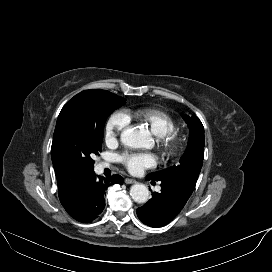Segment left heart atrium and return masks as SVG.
<instances>
[{
    "mask_svg": "<svg viewBox=\"0 0 272 272\" xmlns=\"http://www.w3.org/2000/svg\"><path fill=\"white\" fill-rule=\"evenodd\" d=\"M118 160L134 174L141 173L144 169L156 164V158L151 153L125 152L118 156Z\"/></svg>",
    "mask_w": 272,
    "mask_h": 272,
    "instance_id": "obj_1",
    "label": "left heart atrium"
}]
</instances>
